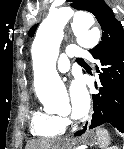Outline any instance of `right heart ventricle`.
Returning <instances> with one entry per match:
<instances>
[{
  "instance_id": "obj_1",
  "label": "right heart ventricle",
  "mask_w": 124,
  "mask_h": 149,
  "mask_svg": "<svg viewBox=\"0 0 124 149\" xmlns=\"http://www.w3.org/2000/svg\"><path fill=\"white\" fill-rule=\"evenodd\" d=\"M29 127L34 137L47 141L64 133L65 122L56 114L36 109L31 113Z\"/></svg>"
}]
</instances>
